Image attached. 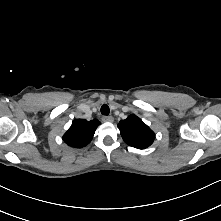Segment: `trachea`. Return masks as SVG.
Here are the masks:
<instances>
[{
  "label": "trachea",
  "mask_w": 221,
  "mask_h": 221,
  "mask_svg": "<svg viewBox=\"0 0 221 221\" xmlns=\"http://www.w3.org/2000/svg\"><path fill=\"white\" fill-rule=\"evenodd\" d=\"M101 113H102V115H106V116L109 115L110 109H109L108 105H106V104L102 105Z\"/></svg>",
  "instance_id": "obj_1"
}]
</instances>
